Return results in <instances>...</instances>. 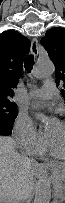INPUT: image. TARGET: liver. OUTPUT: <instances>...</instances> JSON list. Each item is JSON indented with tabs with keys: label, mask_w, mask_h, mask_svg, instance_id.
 I'll list each match as a JSON object with an SVG mask.
<instances>
[{
	"label": "liver",
	"mask_w": 65,
	"mask_h": 203,
	"mask_svg": "<svg viewBox=\"0 0 65 203\" xmlns=\"http://www.w3.org/2000/svg\"><path fill=\"white\" fill-rule=\"evenodd\" d=\"M10 137H0V202L20 203L28 196L39 164L17 153Z\"/></svg>",
	"instance_id": "liver-1"
}]
</instances>
